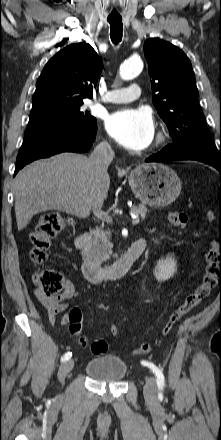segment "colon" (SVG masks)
Instances as JSON below:
<instances>
[{
  "mask_svg": "<svg viewBox=\"0 0 221 440\" xmlns=\"http://www.w3.org/2000/svg\"><path fill=\"white\" fill-rule=\"evenodd\" d=\"M169 222L176 227H185L188 224V215L181 211H172L168 216ZM207 219L213 221L215 214L212 211L207 213ZM71 220L57 213H49L42 217L36 228L30 234L31 249L30 260L35 265H42L48 258V250L51 240L63 231ZM206 267L202 282L189 295L185 297L180 306L172 312L162 328V336H167L176 323L185 317L196 306L202 303L216 287L221 279V240L213 239L209 242V248L205 254ZM64 277L53 270H41L34 276V284L37 291L46 298H54L62 293L65 288ZM82 312L79 308L69 311V330L78 337L82 346H88L95 355H102L108 350V343L104 339H96L88 342L82 331ZM109 331L115 337H120V324L116 320L108 321ZM158 344L142 343L135 349L134 353L146 354L153 350Z\"/></svg>",
  "mask_w": 221,
  "mask_h": 440,
  "instance_id": "1",
  "label": "colon"
}]
</instances>
